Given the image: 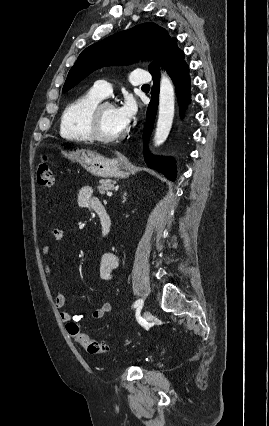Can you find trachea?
<instances>
[{"mask_svg": "<svg viewBox=\"0 0 269 426\" xmlns=\"http://www.w3.org/2000/svg\"><path fill=\"white\" fill-rule=\"evenodd\" d=\"M142 87H144V88H145V87H150V86H149L148 84H146V85H143Z\"/></svg>", "mask_w": 269, "mask_h": 426, "instance_id": "1", "label": "trachea"}]
</instances>
